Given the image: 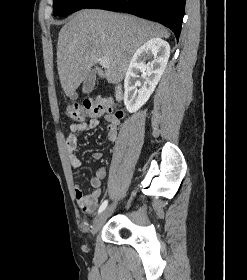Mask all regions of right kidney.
Masks as SVG:
<instances>
[{
    "mask_svg": "<svg viewBox=\"0 0 247 280\" xmlns=\"http://www.w3.org/2000/svg\"><path fill=\"white\" fill-rule=\"evenodd\" d=\"M170 56V45L156 37L145 42L131 58L124 80V104L130 113L138 111L155 90ZM153 59V60H151ZM147 60L148 63L146 64ZM146 71L141 86L139 72Z\"/></svg>",
    "mask_w": 247,
    "mask_h": 280,
    "instance_id": "obj_1",
    "label": "right kidney"
}]
</instances>
